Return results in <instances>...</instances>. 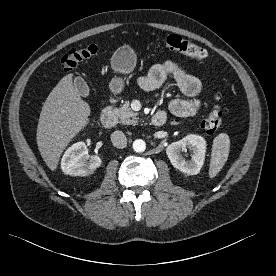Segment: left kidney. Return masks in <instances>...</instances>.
Here are the masks:
<instances>
[{
  "instance_id": "left-kidney-1",
  "label": "left kidney",
  "mask_w": 276,
  "mask_h": 276,
  "mask_svg": "<svg viewBox=\"0 0 276 276\" xmlns=\"http://www.w3.org/2000/svg\"><path fill=\"white\" fill-rule=\"evenodd\" d=\"M189 150L191 160H185L181 151ZM206 141L202 136L190 134L183 139L171 143L166 148V154L174 168L188 175L200 172L205 160Z\"/></svg>"
}]
</instances>
